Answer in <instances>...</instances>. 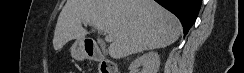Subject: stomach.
Here are the masks:
<instances>
[{
	"label": "stomach",
	"instance_id": "1",
	"mask_svg": "<svg viewBox=\"0 0 244 73\" xmlns=\"http://www.w3.org/2000/svg\"><path fill=\"white\" fill-rule=\"evenodd\" d=\"M71 55L76 60H84L88 57V52L83 41H76L71 47Z\"/></svg>",
	"mask_w": 244,
	"mask_h": 73
}]
</instances>
